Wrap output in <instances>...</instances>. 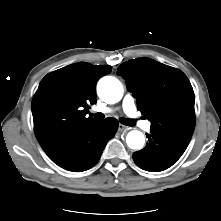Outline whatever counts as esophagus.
<instances>
[{
  "instance_id": "34e87169",
  "label": "esophagus",
  "mask_w": 221,
  "mask_h": 221,
  "mask_svg": "<svg viewBox=\"0 0 221 221\" xmlns=\"http://www.w3.org/2000/svg\"><path fill=\"white\" fill-rule=\"evenodd\" d=\"M129 128L128 127H126V126H124V125H122V124H119V127H118V130L119 131H126V130H128Z\"/></svg>"
}]
</instances>
